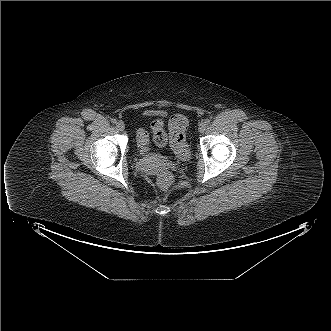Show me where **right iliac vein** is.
Returning <instances> with one entry per match:
<instances>
[{
  "label": "right iliac vein",
  "mask_w": 331,
  "mask_h": 331,
  "mask_svg": "<svg viewBox=\"0 0 331 331\" xmlns=\"http://www.w3.org/2000/svg\"><path fill=\"white\" fill-rule=\"evenodd\" d=\"M116 128L119 130V131H123L125 129V125L123 122L119 121L116 123Z\"/></svg>",
  "instance_id": "obj_1"
}]
</instances>
